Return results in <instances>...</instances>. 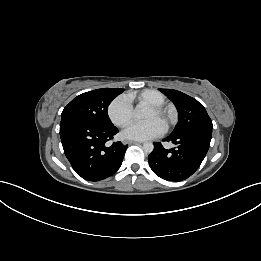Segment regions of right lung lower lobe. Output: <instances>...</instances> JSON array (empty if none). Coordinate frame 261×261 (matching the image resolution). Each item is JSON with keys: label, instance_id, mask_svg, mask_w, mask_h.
<instances>
[{"label": "right lung lower lobe", "instance_id": "right-lung-lower-lobe-1", "mask_svg": "<svg viewBox=\"0 0 261 261\" xmlns=\"http://www.w3.org/2000/svg\"><path fill=\"white\" fill-rule=\"evenodd\" d=\"M118 133L114 126H99L71 118H62L60 137L64 153L74 171L89 181H99L120 168L128 145L108 141Z\"/></svg>", "mask_w": 261, "mask_h": 261}]
</instances>
